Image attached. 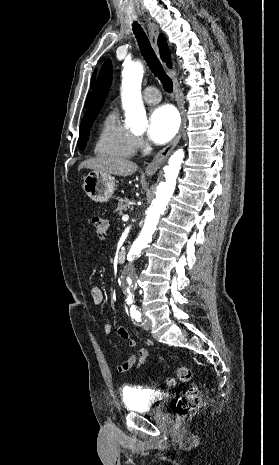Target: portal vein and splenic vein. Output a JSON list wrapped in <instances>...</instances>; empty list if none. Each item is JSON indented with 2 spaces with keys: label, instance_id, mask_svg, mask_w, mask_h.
Here are the masks:
<instances>
[{
  "label": "portal vein and splenic vein",
  "instance_id": "18ae733b",
  "mask_svg": "<svg viewBox=\"0 0 279 465\" xmlns=\"http://www.w3.org/2000/svg\"><path fill=\"white\" fill-rule=\"evenodd\" d=\"M128 220H129V216H128V215H123V216H122V221L127 222Z\"/></svg>",
  "mask_w": 279,
  "mask_h": 465
}]
</instances>
